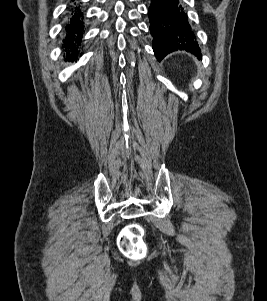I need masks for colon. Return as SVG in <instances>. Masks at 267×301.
<instances>
[{"label": "colon", "instance_id": "1", "mask_svg": "<svg viewBox=\"0 0 267 301\" xmlns=\"http://www.w3.org/2000/svg\"><path fill=\"white\" fill-rule=\"evenodd\" d=\"M144 230L139 224H130L125 227L118 239L121 252L130 259H141L147 253V247L143 240Z\"/></svg>", "mask_w": 267, "mask_h": 301}]
</instances>
